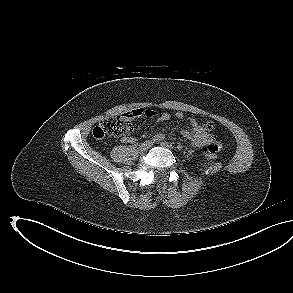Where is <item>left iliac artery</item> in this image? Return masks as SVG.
Listing matches in <instances>:
<instances>
[{"instance_id": "44dca946", "label": "left iliac artery", "mask_w": 293, "mask_h": 293, "mask_svg": "<svg viewBox=\"0 0 293 293\" xmlns=\"http://www.w3.org/2000/svg\"><path fill=\"white\" fill-rule=\"evenodd\" d=\"M177 149L178 150H182L183 149V146L181 144L177 145Z\"/></svg>"}]
</instances>
